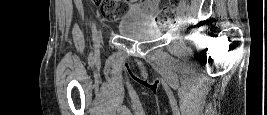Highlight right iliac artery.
Returning <instances> with one entry per match:
<instances>
[{
	"label": "right iliac artery",
	"instance_id": "obj_1",
	"mask_svg": "<svg viewBox=\"0 0 267 115\" xmlns=\"http://www.w3.org/2000/svg\"><path fill=\"white\" fill-rule=\"evenodd\" d=\"M92 33H93V40H96V35H97V31H96V27L95 25L92 26Z\"/></svg>",
	"mask_w": 267,
	"mask_h": 115
}]
</instances>
